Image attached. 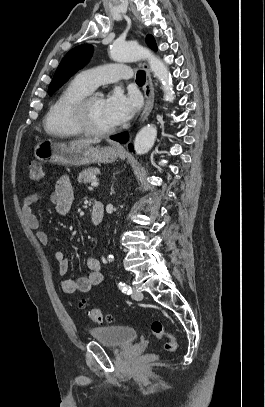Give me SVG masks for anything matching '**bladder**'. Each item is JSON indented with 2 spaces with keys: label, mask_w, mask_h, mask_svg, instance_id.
Segmentation results:
<instances>
[{
  "label": "bladder",
  "mask_w": 265,
  "mask_h": 407,
  "mask_svg": "<svg viewBox=\"0 0 265 407\" xmlns=\"http://www.w3.org/2000/svg\"><path fill=\"white\" fill-rule=\"evenodd\" d=\"M89 334L94 340L113 348H125L138 338L136 329L123 325L95 327Z\"/></svg>",
  "instance_id": "obj_1"
}]
</instances>
